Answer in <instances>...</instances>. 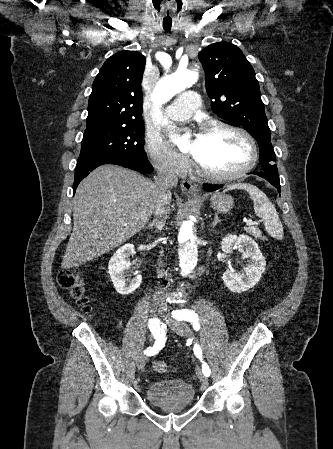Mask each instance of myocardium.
<instances>
[{
	"label": "myocardium",
	"mask_w": 333,
	"mask_h": 449,
	"mask_svg": "<svg viewBox=\"0 0 333 449\" xmlns=\"http://www.w3.org/2000/svg\"><path fill=\"white\" fill-rule=\"evenodd\" d=\"M213 131H227L243 138L249 146L250 157L248 162L242 168L225 174L209 171L195 157H193V163L203 177L214 182H227L244 176L255 167L258 161V149L254 138L249 132L235 125L220 121L211 122L204 125L203 132Z\"/></svg>",
	"instance_id": "obj_1"
}]
</instances>
